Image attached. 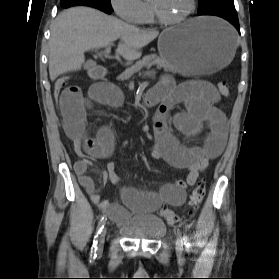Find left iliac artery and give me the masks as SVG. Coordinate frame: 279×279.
<instances>
[{
	"label": "left iliac artery",
	"mask_w": 279,
	"mask_h": 279,
	"mask_svg": "<svg viewBox=\"0 0 279 279\" xmlns=\"http://www.w3.org/2000/svg\"><path fill=\"white\" fill-rule=\"evenodd\" d=\"M183 241H184V245H185V248H186V251L189 252L190 248H191V243L189 241V238L187 235H183Z\"/></svg>",
	"instance_id": "44dca946"
}]
</instances>
